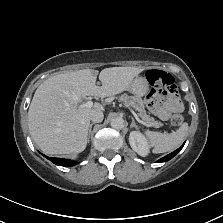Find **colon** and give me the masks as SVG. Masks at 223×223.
<instances>
[{"mask_svg":"<svg viewBox=\"0 0 223 223\" xmlns=\"http://www.w3.org/2000/svg\"><path fill=\"white\" fill-rule=\"evenodd\" d=\"M145 78L147 81L155 86L163 87L170 92H176V85L174 78L161 70H148L145 73ZM171 122L175 126H179L184 122V117L181 113L177 112L172 116Z\"/></svg>","mask_w":223,"mask_h":223,"instance_id":"1","label":"colon"}]
</instances>
